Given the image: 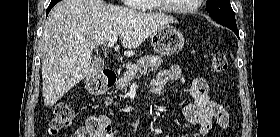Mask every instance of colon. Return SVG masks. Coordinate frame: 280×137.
<instances>
[{
  "label": "colon",
  "instance_id": "5ec220e1",
  "mask_svg": "<svg viewBox=\"0 0 280 137\" xmlns=\"http://www.w3.org/2000/svg\"><path fill=\"white\" fill-rule=\"evenodd\" d=\"M228 60L224 53L218 52L212 55L210 60V69L215 73H222L227 70ZM73 121V111L70 109L69 105L61 100L55 104L53 112L50 117V121L48 124L49 131L56 135L63 129L69 127ZM89 126L93 133H99L103 128L102 125L99 124L96 118L91 119L89 121ZM107 132V129H106ZM101 137H107L109 135L100 134Z\"/></svg>",
  "mask_w": 280,
  "mask_h": 137
}]
</instances>
